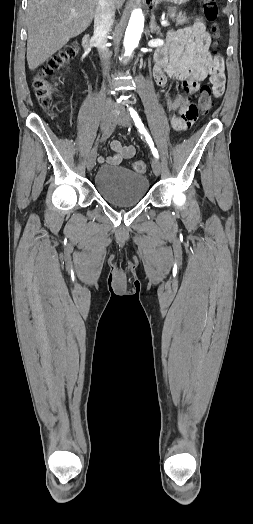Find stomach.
I'll use <instances>...</instances> for the list:
<instances>
[{
	"instance_id": "1",
	"label": "stomach",
	"mask_w": 253,
	"mask_h": 524,
	"mask_svg": "<svg viewBox=\"0 0 253 524\" xmlns=\"http://www.w3.org/2000/svg\"><path fill=\"white\" fill-rule=\"evenodd\" d=\"M150 2L151 5H157L159 2H170V3H174V4H182V3H186L188 2L189 0H147Z\"/></svg>"
}]
</instances>
